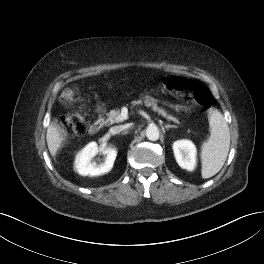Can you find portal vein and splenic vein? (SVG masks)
I'll list each match as a JSON object with an SVG mask.
<instances>
[{
    "mask_svg": "<svg viewBox=\"0 0 264 264\" xmlns=\"http://www.w3.org/2000/svg\"><path fill=\"white\" fill-rule=\"evenodd\" d=\"M127 118H128V110L127 108H123L120 113V116L117 118V122H123Z\"/></svg>",
    "mask_w": 264,
    "mask_h": 264,
    "instance_id": "18ae733b",
    "label": "portal vein and splenic vein"
}]
</instances>
